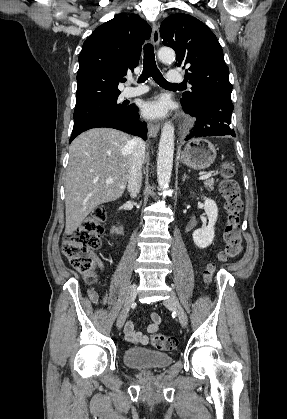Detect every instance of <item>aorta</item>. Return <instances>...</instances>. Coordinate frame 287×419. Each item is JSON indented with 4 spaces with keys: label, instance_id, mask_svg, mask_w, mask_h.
<instances>
[{
    "label": "aorta",
    "instance_id": "aorta-1",
    "mask_svg": "<svg viewBox=\"0 0 287 419\" xmlns=\"http://www.w3.org/2000/svg\"><path fill=\"white\" fill-rule=\"evenodd\" d=\"M158 58L165 63L175 60V52L171 48L163 47L158 51ZM174 126L167 122L163 125L158 147L157 180L160 189L169 186L174 155Z\"/></svg>",
    "mask_w": 287,
    "mask_h": 419
}]
</instances>
